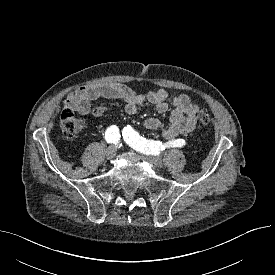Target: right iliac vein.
<instances>
[{"mask_svg": "<svg viewBox=\"0 0 275 275\" xmlns=\"http://www.w3.org/2000/svg\"><path fill=\"white\" fill-rule=\"evenodd\" d=\"M116 155V147L115 146H109L107 149H106V152H105V156L108 160H111L115 157Z\"/></svg>", "mask_w": 275, "mask_h": 275, "instance_id": "right-iliac-vein-1", "label": "right iliac vein"}]
</instances>
